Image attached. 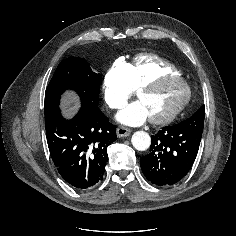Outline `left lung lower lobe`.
<instances>
[{
    "mask_svg": "<svg viewBox=\"0 0 236 236\" xmlns=\"http://www.w3.org/2000/svg\"><path fill=\"white\" fill-rule=\"evenodd\" d=\"M202 132L177 125L163 127L151 137L150 153L140 160L148 181L173 185L186 176L200 145Z\"/></svg>",
    "mask_w": 236,
    "mask_h": 236,
    "instance_id": "left-lung-lower-lobe-1",
    "label": "left lung lower lobe"
}]
</instances>
